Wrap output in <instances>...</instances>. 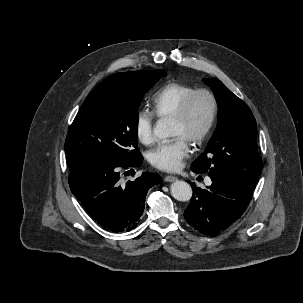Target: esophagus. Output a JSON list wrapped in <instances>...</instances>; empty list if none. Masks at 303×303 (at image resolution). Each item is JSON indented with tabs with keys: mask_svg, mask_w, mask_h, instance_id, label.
<instances>
[{
	"mask_svg": "<svg viewBox=\"0 0 303 303\" xmlns=\"http://www.w3.org/2000/svg\"><path fill=\"white\" fill-rule=\"evenodd\" d=\"M177 180V177L175 176H171V175H168L164 178V181L165 182H173V181H176Z\"/></svg>",
	"mask_w": 303,
	"mask_h": 303,
	"instance_id": "34e87169",
	"label": "esophagus"
}]
</instances>
